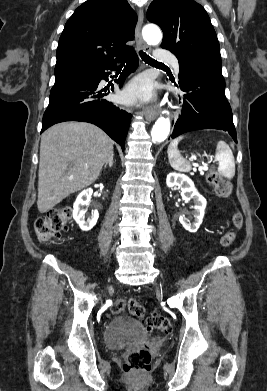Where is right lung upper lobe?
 Listing matches in <instances>:
<instances>
[{
  "label": "right lung upper lobe",
  "mask_w": 267,
  "mask_h": 391,
  "mask_svg": "<svg viewBox=\"0 0 267 391\" xmlns=\"http://www.w3.org/2000/svg\"><path fill=\"white\" fill-rule=\"evenodd\" d=\"M137 15L126 0H88L65 24L59 39L55 77L81 74L116 63L133 52Z\"/></svg>",
  "instance_id": "right-lung-upper-lobe-1"
}]
</instances>
